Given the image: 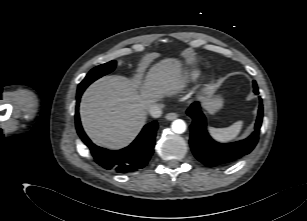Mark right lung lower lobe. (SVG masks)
<instances>
[{
	"instance_id": "98d812e1",
	"label": "right lung lower lobe",
	"mask_w": 307,
	"mask_h": 221,
	"mask_svg": "<svg viewBox=\"0 0 307 221\" xmlns=\"http://www.w3.org/2000/svg\"><path fill=\"white\" fill-rule=\"evenodd\" d=\"M83 91H77L76 129L81 140L90 149L95 162L103 168L117 173H131L145 167L153 154L158 128L157 122L153 121L145 125L134 142L122 150L115 151L98 147L87 137L80 123L78 109Z\"/></svg>"
}]
</instances>
